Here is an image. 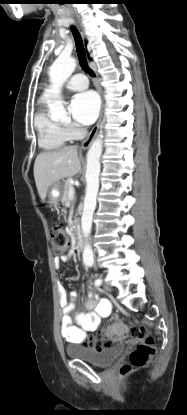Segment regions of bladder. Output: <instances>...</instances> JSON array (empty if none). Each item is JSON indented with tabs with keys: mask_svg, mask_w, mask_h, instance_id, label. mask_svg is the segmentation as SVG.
<instances>
[{
	"mask_svg": "<svg viewBox=\"0 0 187 415\" xmlns=\"http://www.w3.org/2000/svg\"><path fill=\"white\" fill-rule=\"evenodd\" d=\"M125 350L126 345L124 343H119L117 345L102 349H95L80 345H69L65 349L68 357L84 360L98 367L110 366L125 353Z\"/></svg>",
	"mask_w": 187,
	"mask_h": 415,
	"instance_id": "31cf9c89",
	"label": "bladder"
}]
</instances>
